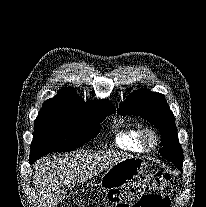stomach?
<instances>
[{
  "mask_svg": "<svg viewBox=\"0 0 206 207\" xmlns=\"http://www.w3.org/2000/svg\"><path fill=\"white\" fill-rule=\"evenodd\" d=\"M147 163L137 157L125 158L112 165L101 177L100 186L104 190L118 189L142 175Z\"/></svg>",
  "mask_w": 206,
  "mask_h": 207,
  "instance_id": "stomach-1",
  "label": "stomach"
}]
</instances>
